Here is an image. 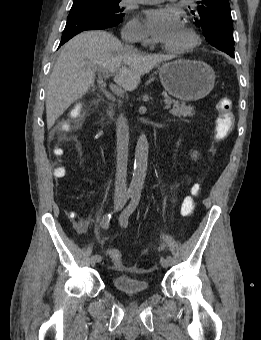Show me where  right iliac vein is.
<instances>
[{"instance_id":"right-iliac-vein-1","label":"right iliac vein","mask_w":261,"mask_h":340,"mask_svg":"<svg viewBox=\"0 0 261 340\" xmlns=\"http://www.w3.org/2000/svg\"><path fill=\"white\" fill-rule=\"evenodd\" d=\"M114 205H115V208H116V209H119V208L121 207V205H122V200H116V201L114 202ZM95 264H96L95 257H94V256H91V257L89 258V260H88V265L91 266V267H93V266H95Z\"/></svg>"}]
</instances>
